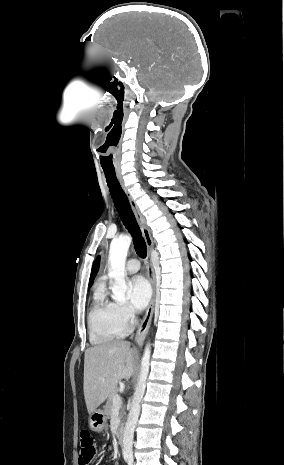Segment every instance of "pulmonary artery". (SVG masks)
<instances>
[{
  "instance_id": "pulmonary-artery-1",
  "label": "pulmonary artery",
  "mask_w": 284,
  "mask_h": 465,
  "mask_svg": "<svg viewBox=\"0 0 284 465\" xmlns=\"http://www.w3.org/2000/svg\"><path fill=\"white\" fill-rule=\"evenodd\" d=\"M139 268H140V263L136 259L129 260L125 266V270L127 274H134L139 270Z\"/></svg>"
}]
</instances>
